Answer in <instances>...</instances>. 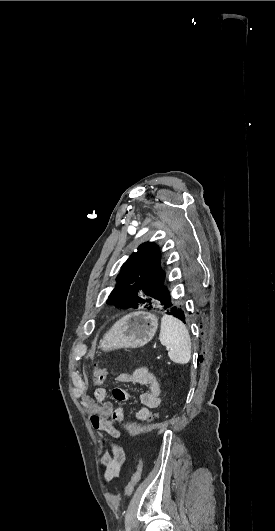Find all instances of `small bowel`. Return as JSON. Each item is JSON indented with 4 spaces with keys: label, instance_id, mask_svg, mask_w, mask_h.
<instances>
[{
    "label": "small bowel",
    "instance_id": "c3829d8e",
    "mask_svg": "<svg viewBox=\"0 0 275 531\" xmlns=\"http://www.w3.org/2000/svg\"><path fill=\"white\" fill-rule=\"evenodd\" d=\"M115 382L140 385L147 388L139 396L142 407L136 412L135 421L140 423H143L145 419L151 421V410L158 408L161 403L163 393L161 377L146 367H139L132 373L121 372L117 374ZM131 396V393L125 392L123 400H129ZM94 398L99 404V409L90 416V422L100 436H102L103 432H106L112 437V439H103L105 451L102 456L105 478L112 480L119 477L122 468L126 464L125 452L122 446L115 441L122 435L117 425L123 421L124 410L123 408L115 409L112 402L106 401L107 390L104 387L97 388L94 391Z\"/></svg>",
    "mask_w": 275,
    "mask_h": 531
}]
</instances>
